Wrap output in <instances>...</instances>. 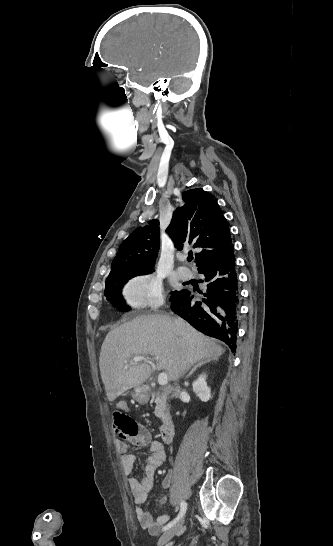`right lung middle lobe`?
Instances as JSON below:
<instances>
[{
    "label": "right lung middle lobe",
    "instance_id": "dd1d6c3e",
    "mask_svg": "<svg viewBox=\"0 0 333 546\" xmlns=\"http://www.w3.org/2000/svg\"><path fill=\"white\" fill-rule=\"evenodd\" d=\"M154 270H116L111 271L106 279L104 295L119 311L125 312L130 307L124 304L121 290L123 285L132 277L152 273ZM173 292H171L172 294Z\"/></svg>",
    "mask_w": 333,
    "mask_h": 546
}]
</instances>
